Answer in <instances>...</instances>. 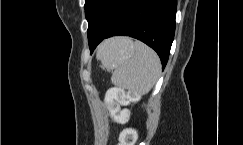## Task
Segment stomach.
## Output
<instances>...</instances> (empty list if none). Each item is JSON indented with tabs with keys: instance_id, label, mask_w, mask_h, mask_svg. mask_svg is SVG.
<instances>
[{
	"instance_id": "1",
	"label": "stomach",
	"mask_w": 243,
	"mask_h": 145,
	"mask_svg": "<svg viewBox=\"0 0 243 145\" xmlns=\"http://www.w3.org/2000/svg\"><path fill=\"white\" fill-rule=\"evenodd\" d=\"M133 53V42L128 38L117 37L100 46L97 58L101 60L103 67L111 69L129 59Z\"/></svg>"
}]
</instances>
